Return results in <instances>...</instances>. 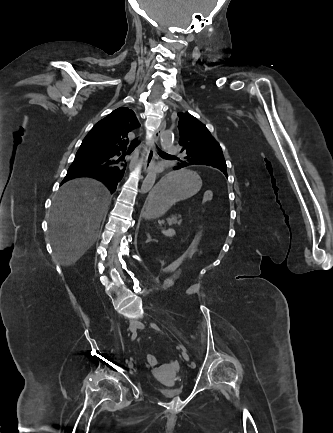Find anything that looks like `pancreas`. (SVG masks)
Listing matches in <instances>:
<instances>
[{"label": "pancreas", "instance_id": "cf45deb5", "mask_svg": "<svg viewBox=\"0 0 333 433\" xmlns=\"http://www.w3.org/2000/svg\"><path fill=\"white\" fill-rule=\"evenodd\" d=\"M167 223H168L169 225H172V224H179V225H180L181 221H178L177 216H176V215H173V216L167 218Z\"/></svg>", "mask_w": 333, "mask_h": 433}]
</instances>
